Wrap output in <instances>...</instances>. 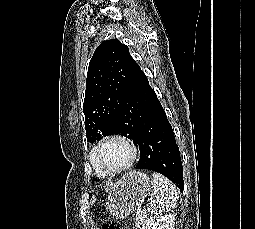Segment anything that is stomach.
<instances>
[{"instance_id":"0dacf381","label":"stomach","mask_w":255,"mask_h":229,"mask_svg":"<svg viewBox=\"0 0 255 229\" xmlns=\"http://www.w3.org/2000/svg\"><path fill=\"white\" fill-rule=\"evenodd\" d=\"M150 191L151 181L145 172H127L111 188L107 209L117 219H125L141 207Z\"/></svg>"}]
</instances>
